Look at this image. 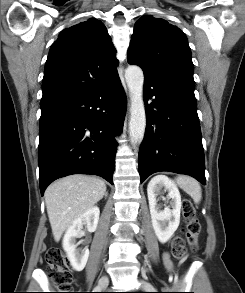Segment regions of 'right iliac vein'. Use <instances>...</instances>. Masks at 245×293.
<instances>
[{"label": "right iliac vein", "mask_w": 245, "mask_h": 293, "mask_svg": "<svg viewBox=\"0 0 245 293\" xmlns=\"http://www.w3.org/2000/svg\"><path fill=\"white\" fill-rule=\"evenodd\" d=\"M109 280L107 276H103L98 283L99 290H102L108 286Z\"/></svg>", "instance_id": "right-iliac-vein-1"}]
</instances>
